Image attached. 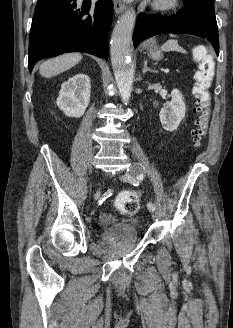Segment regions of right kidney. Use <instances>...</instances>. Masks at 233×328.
I'll return each instance as SVG.
<instances>
[{"label": "right kidney", "mask_w": 233, "mask_h": 328, "mask_svg": "<svg viewBox=\"0 0 233 328\" xmlns=\"http://www.w3.org/2000/svg\"><path fill=\"white\" fill-rule=\"evenodd\" d=\"M90 78L83 73L70 77L61 85L57 106L68 117H81L90 102Z\"/></svg>", "instance_id": "ca27d5eb"}]
</instances>
